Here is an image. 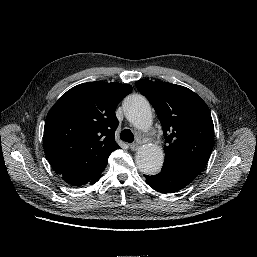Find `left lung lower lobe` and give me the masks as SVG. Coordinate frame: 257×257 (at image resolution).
Returning a JSON list of instances; mask_svg holds the SVG:
<instances>
[{
    "instance_id": "1",
    "label": "left lung lower lobe",
    "mask_w": 257,
    "mask_h": 257,
    "mask_svg": "<svg viewBox=\"0 0 257 257\" xmlns=\"http://www.w3.org/2000/svg\"><path fill=\"white\" fill-rule=\"evenodd\" d=\"M146 177V183L161 193H174L191 183L197 175L178 166L164 163L161 172Z\"/></svg>"
}]
</instances>
